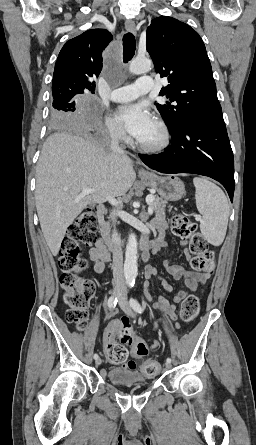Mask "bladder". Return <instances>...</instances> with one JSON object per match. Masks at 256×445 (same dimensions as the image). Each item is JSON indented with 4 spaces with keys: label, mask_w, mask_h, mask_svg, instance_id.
I'll list each match as a JSON object with an SVG mask.
<instances>
[{
    "label": "bladder",
    "mask_w": 256,
    "mask_h": 445,
    "mask_svg": "<svg viewBox=\"0 0 256 445\" xmlns=\"http://www.w3.org/2000/svg\"><path fill=\"white\" fill-rule=\"evenodd\" d=\"M107 376L110 382L117 385L146 386L149 384L148 380L144 377V375L141 372L124 367L110 368L107 372Z\"/></svg>",
    "instance_id": "31cf9c89"
}]
</instances>
